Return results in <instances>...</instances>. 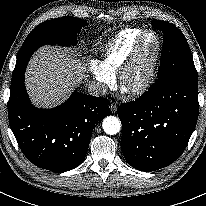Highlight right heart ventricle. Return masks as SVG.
<instances>
[{
  "mask_svg": "<svg viewBox=\"0 0 206 206\" xmlns=\"http://www.w3.org/2000/svg\"><path fill=\"white\" fill-rule=\"evenodd\" d=\"M144 31V29L140 28H129L116 34L104 49L99 65L109 75L114 77Z\"/></svg>",
  "mask_w": 206,
  "mask_h": 206,
  "instance_id": "obj_1",
  "label": "right heart ventricle"
}]
</instances>
